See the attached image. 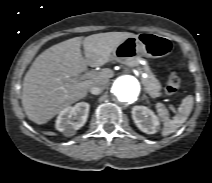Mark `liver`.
Listing matches in <instances>:
<instances>
[{"label":"liver","mask_w":212,"mask_h":183,"mask_svg":"<svg viewBox=\"0 0 212 183\" xmlns=\"http://www.w3.org/2000/svg\"><path fill=\"white\" fill-rule=\"evenodd\" d=\"M129 32L98 33L74 37L43 51L26 73L22 89V105L28 118L39 125L47 123L60 111L87 95L97 82L107 83L113 71L104 68L85 80L70 79L87 66L98 67L109 62L112 53ZM83 44L85 58L81 54Z\"/></svg>","instance_id":"liver-1"}]
</instances>
